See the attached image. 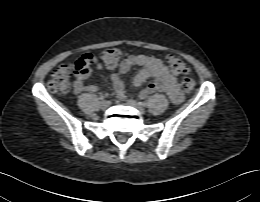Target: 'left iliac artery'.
Here are the masks:
<instances>
[{
  "instance_id": "44dca946",
  "label": "left iliac artery",
  "mask_w": 260,
  "mask_h": 202,
  "mask_svg": "<svg viewBox=\"0 0 260 202\" xmlns=\"http://www.w3.org/2000/svg\"><path fill=\"white\" fill-rule=\"evenodd\" d=\"M139 104L142 105V106H146L147 105L146 102H139Z\"/></svg>"
}]
</instances>
